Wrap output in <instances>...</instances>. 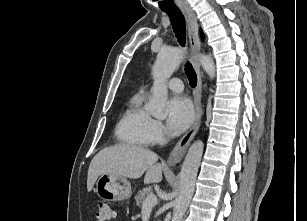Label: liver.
Segmentation results:
<instances>
[{"label": "liver", "mask_w": 307, "mask_h": 221, "mask_svg": "<svg viewBox=\"0 0 307 221\" xmlns=\"http://www.w3.org/2000/svg\"><path fill=\"white\" fill-rule=\"evenodd\" d=\"M158 155L153 151L134 145H116L102 149L92 159L87 178L90 192L102 174H113L137 179L144 173V182L158 183L162 180L163 166L157 163Z\"/></svg>", "instance_id": "obj_1"}]
</instances>
